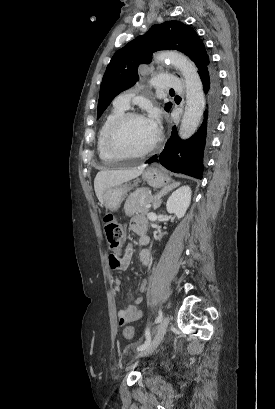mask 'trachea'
<instances>
[{
  "mask_svg": "<svg viewBox=\"0 0 275 409\" xmlns=\"http://www.w3.org/2000/svg\"><path fill=\"white\" fill-rule=\"evenodd\" d=\"M170 91L174 92L173 88H170Z\"/></svg>",
  "mask_w": 275,
  "mask_h": 409,
  "instance_id": "1",
  "label": "trachea"
}]
</instances>
